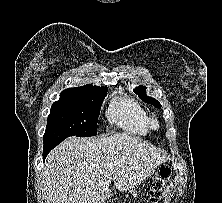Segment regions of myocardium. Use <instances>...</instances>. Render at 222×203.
Listing matches in <instances>:
<instances>
[{"mask_svg":"<svg viewBox=\"0 0 222 203\" xmlns=\"http://www.w3.org/2000/svg\"><path fill=\"white\" fill-rule=\"evenodd\" d=\"M151 125H152L154 128H158L159 123H158V121H157L155 118H153V119L151 120Z\"/></svg>","mask_w":222,"mask_h":203,"instance_id":"1","label":"myocardium"}]
</instances>
